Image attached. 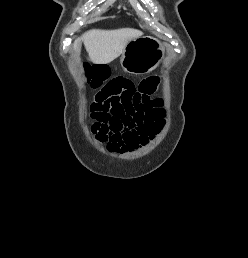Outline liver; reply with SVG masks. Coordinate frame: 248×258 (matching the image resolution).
<instances>
[{
    "label": "liver",
    "mask_w": 248,
    "mask_h": 258,
    "mask_svg": "<svg viewBox=\"0 0 248 258\" xmlns=\"http://www.w3.org/2000/svg\"><path fill=\"white\" fill-rule=\"evenodd\" d=\"M142 35L141 31L132 28L90 30L74 41L73 48L79 54L83 41L93 63L108 64L122 54L130 41Z\"/></svg>",
    "instance_id": "obj_1"
}]
</instances>
